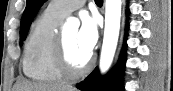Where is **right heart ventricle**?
<instances>
[{
	"label": "right heart ventricle",
	"mask_w": 173,
	"mask_h": 91,
	"mask_svg": "<svg viewBox=\"0 0 173 91\" xmlns=\"http://www.w3.org/2000/svg\"><path fill=\"white\" fill-rule=\"evenodd\" d=\"M62 19L46 10L31 27L24 46L22 67L24 74L36 82L54 84L64 79L55 65L57 27Z\"/></svg>",
	"instance_id": "obj_1"
}]
</instances>
